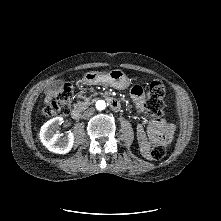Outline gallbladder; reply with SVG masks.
<instances>
[{
  "instance_id": "bac80fb5",
  "label": "gallbladder",
  "mask_w": 221,
  "mask_h": 221,
  "mask_svg": "<svg viewBox=\"0 0 221 221\" xmlns=\"http://www.w3.org/2000/svg\"><path fill=\"white\" fill-rule=\"evenodd\" d=\"M64 87V82L63 81H55L51 88L56 90V91H59V90H62V88Z\"/></svg>"
}]
</instances>
